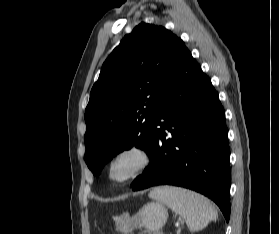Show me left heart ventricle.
I'll use <instances>...</instances> for the list:
<instances>
[{
  "label": "left heart ventricle",
  "mask_w": 279,
  "mask_h": 234,
  "mask_svg": "<svg viewBox=\"0 0 279 234\" xmlns=\"http://www.w3.org/2000/svg\"><path fill=\"white\" fill-rule=\"evenodd\" d=\"M133 166V161L131 159H125L121 161L115 168L114 174L117 177L124 176Z\"/></svg>",
  "instance_id": "obj_1"
}]
</instances>
